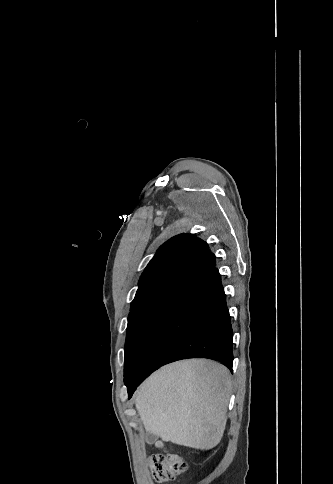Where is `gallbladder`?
<instances>
[{
  "mask_svg": "<svg viewBox=\"0 0 333 484\" xmlns=\"http://www.w3.org/2000/svg\"><path fill=\"white\" fill-rule=\"evenodd\" d=\"M156 439H157V437L152 433H148L147 436H146L147 443H154V442H156Z\"/></svg>",
  "mask_w": 333,
  "mask_h": 484,
  "instance_id": "1",
  "label": "gallbladder"
}]
</instances>
